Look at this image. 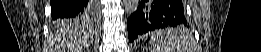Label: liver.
I'll use <instances>...</instances> for the list:
<instances>
[{"label":"liver","mask_w":261,"mask_h":52,"mask_svg":"<svg viewBox=\"0 0 261 52\" xmlns=\"http://www.w3.org/2000/svg\"><path fill=\"white\" fill-rule=\"evenodd\" d=\"M73 25H64V26H58L54 24V36H55V40L57 39V41H61V38L64 37L66 34H71L73 32ZM78 42H69V41H65V45L73 47L75 45H77ZM61 46H64V39L63 42H61Z\"/></svg>","instance_id":"obj_1"}]
</instances>
